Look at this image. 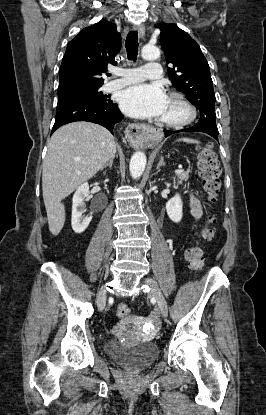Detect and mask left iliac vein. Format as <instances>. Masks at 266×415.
I'll return each mask as SVG.
<instances>
[{
  "label": "left iliac vein",
  "instance_id": "obj_1",
  "mask_svg": "<svg viewBox=\"0 0 266 415\" xmlns=\"http://www.w3.org/2000/svg\"><path fill=\"white\" fill-rule=\"evenodd\" d=\"M145 283L150 287L149 294L155 298L159 311L161 312L163 317H167L168 315V306L167 302L157 284V282L152 278H146Z\"/></svg>",
  "mask_w": 266,
  "mask_h": 415
}]
</instances>
